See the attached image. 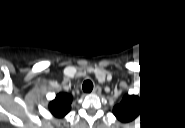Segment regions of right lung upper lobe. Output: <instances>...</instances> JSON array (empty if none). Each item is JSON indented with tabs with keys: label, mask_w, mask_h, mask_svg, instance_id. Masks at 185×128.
I'll list each match as a JSON object with an SVG mask.
<instances>
[{
	"label": "right lung upper lobe",
	"mask_w": 185,
	"mask_h": 128,
	"mask_svg": "<svg viewBox=\"0 0 185 128\" xmlns=\"http://www.w3.org/2000/svg\"><path fill=\"white\" fill-rule=\"evenodd\" d=\"M71 100L66 95L60 94L51 103L50 110L55 116H63L69 112Z\"/></svg>",
	"instance_id": "obj_1"
}]
</instances>
